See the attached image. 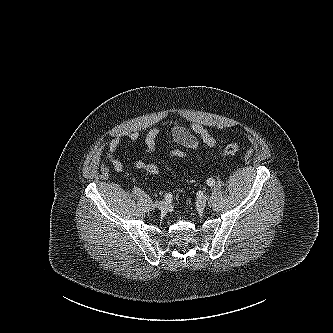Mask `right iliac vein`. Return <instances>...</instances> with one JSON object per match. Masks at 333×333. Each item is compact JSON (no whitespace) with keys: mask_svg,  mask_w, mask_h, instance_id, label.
<instances>
[{"mask_svg":"<svg viewBox=\"0 0 333 333\" xmlns=\"http://www.w3.org/2000/svg\"><path fill=\"white\" fill-rule=\"evenodd\" d=\"M154 206L162 211L167 209V203L165 201H156Z\"/></svg>","mask_w":333,"mask_h":333,"instance_id":"right-iliac-vein-1","label":"right iliac vein"}]
</instances>
